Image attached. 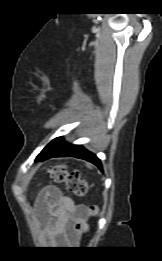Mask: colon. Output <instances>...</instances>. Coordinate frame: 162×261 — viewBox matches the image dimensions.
<instances>
[{
    "instance_id": "5ec220e1",
    "label": "colon",
    "mask_w": 162,
    "mask_h": 261,
    "mask_svg": "<svg viewBox=\"0 0 162 261\" xmlns=\"http://www.w3.org/2000/svg\"><path fill=\"white\" fill-rule=\"evenodd\" d=\"M50 176L54 182L64 184L66 191L75 196L83 197L88 192V185L78 171L70 172L65 166L58 165L50 170ZM77 228L80 232H85L88 227L86 222L81 220Z\"/></svg>"
}]
</instances>
